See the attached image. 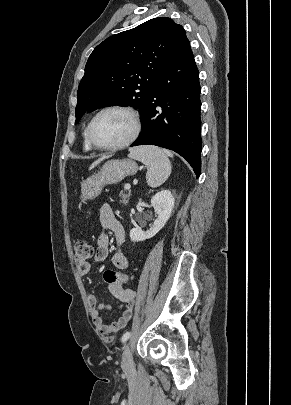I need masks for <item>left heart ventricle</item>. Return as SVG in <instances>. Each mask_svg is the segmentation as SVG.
Here are the masks:
<instances>
[{
	"label": "left heart ventricle",
	"instance_id": "left-heart-ventricle-1",
	"mask_svg": "<svg viewBox=\"0 0 291 405\" xmlns=\"http://www.w3.org/2000/svg\"><path fill=\"white\" fill-rule=\"evenodd\" d=\"M133 131L131 117L120 111H110L98 117L93 125L92 135L96 143L115 145L126 140Z\"/></svg>",
	"mask_w": 291,
	"mask_h": 405
}]
</instances>
